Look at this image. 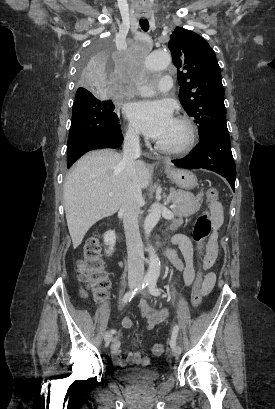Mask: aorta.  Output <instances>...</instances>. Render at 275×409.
I'll use <instances>...</instances> for the list:
<instances>
[{
    "label": "aorta",
    "mask_w": 275,
    "mask_h": 409,
    "mask_svg": "<svg viewBox=\"0 0 275 409\" xmlns=\"http://www.w3.org/2000/svg\"><path fill=\"white\" fill-rule=\"evenodd\" d=\"M146 59L149 65H160L159 68H165L171 62V56H167L166 51H147ZM161 217V205L159 202H154L144 221V233L149 237L152 229L156 227ZM160 261L152 249H149V269L145 275V281H157L160 277Z\"/></svg>",
    "instance_id": "1"
}]
</instances>
